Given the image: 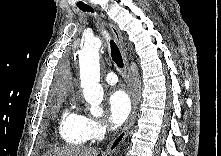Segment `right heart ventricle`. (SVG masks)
I'll return each mask as SVG.
<instances>
[{
    "label": "right heart ventricle",
    "instance_id": "obj_1",
    "mask_svg": "<svg viewBox=\"0 0 221 156\" xmlns=\"http://www.w3.org/2000/svg\"><path fill=\"white\" fill-rule=\"evenodd\" d=\"M59 131L61 138L67 144L81 146L88 141L83 131L81 115L70 110L63 112Z\"/></svg>",
    "mask_w": 221,
    "mask_h": 156
}]
</instances>
